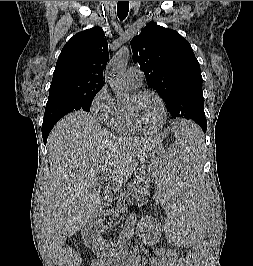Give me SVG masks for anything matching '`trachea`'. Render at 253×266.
I'll return each instance as SVG.
<instances>
[{"instance_id":"trachea-1","label":"trachea","mask_w":253,"mask_h":266,"mask_svg":"<svg viewBox=\"0 0 253 266\" xmlns=\"http://www.w3.org/2000/svg\"><path fill=\"white\" fill-rule=\"evenodd\" d=\"M129 11V1H118L117 3V14L120 20H124Z\"/></svg>"}]
</instances>
